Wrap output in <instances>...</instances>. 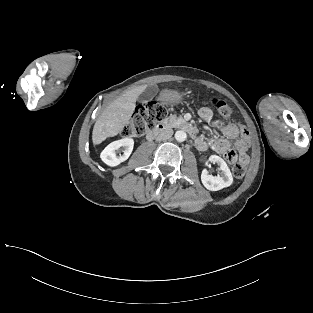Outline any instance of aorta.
Returning a JSON list of instances; mask_svg holds the SVG:
<instances>
[{"label":"aorta","instance_id":"obj_1","mask_svg":"<svg viewBox=\"0 0 313 313\" xmlns=\"http://www.w3.org/2000/svg\"><path fill=\"white\" fill-rule=\"evenodd\" d=\"M187 138V134L185 131L183 130H178L175 132V139L178 141V142H183L185 141Z\"/></svg>","mask_w":313,"mask_h":313}]
</instances>
